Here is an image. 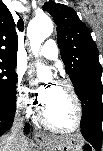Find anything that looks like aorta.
<instances>
[{"instance_id": "1", "label": "aorta", "mask_w": 103, "mask_h": 151, "mask_svg": "<svg viewBox=\"0 0 103 151\" xmlns=\"http://www.w3.org/2000/svg\"><path fill=\"white\" fill-rule=\"evenodd\" d=\"M53 31V24L49 16L42 14L33 18L27 27V36L30 40V46L34 54L37 56V52L44 40L51 35ZM39 70H45L46 68L38 64Z\"/></svg>"}]
</instances>
